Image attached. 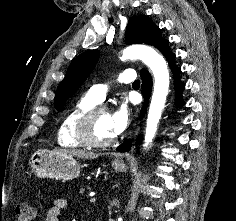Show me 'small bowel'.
I'll return each instance as SVG.
<instances>
[{"mask_svg": "<svg viewBox=\"0 0 236 221\" xmlns=\"http://www.w3.org/2000/svg\"><path fill=\"white\" fill-rule=\"evenodd\" d=\"M65 206L66 202L64 199L56 200L55 204L47 210L45 221H59V217Z\"/></svg>", "mask_w": 236, "mask_h": 221, "instance_id": "c3829d8e", "label": "small bowel"}]
</instances>
